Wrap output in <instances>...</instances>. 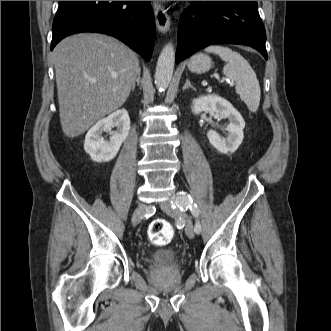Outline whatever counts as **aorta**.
<instances>
[{
  "label": "aorta",
  "instance_id": "aorta-1",
  "mask_svg": "<svg viewBox=\"0 0 331 331\" xmlns=\"http://www.w3.org/2000/svg\"><path fill=\"white\" fill-rule=\"evenodd\" d=\"M175 62V50L171 43L166 44L157 61L155 84L158 89H166L172 79Z\"/></svg>",
  "mask_w": 331,
  "mask_h": 331
}]
</instances>
